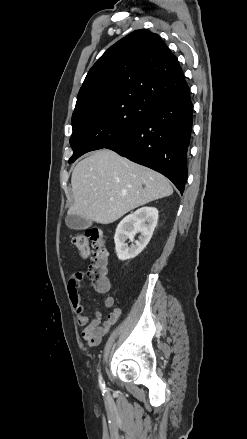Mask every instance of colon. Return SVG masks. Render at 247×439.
<instances>
[{
    "label": "colon",
    "instance_id": "obj_1",
    "mask_svg": "<svg viewBox=\"0 0 247 439\" xmlns=\"http://www.w3.org/2000/svg\"><path fill=\"white\" fill-rule=\"evenodd\" d=\"M73 244L83 259L90 257L86 275L97 292H106L110 288L108 279V254L102 232L98 228H90L73 238ZM92 248V251L90 249Z\"/></svg>",
    "mask_w": 247,
    "mask_h": 439
}]
</instances>
